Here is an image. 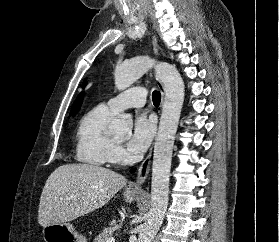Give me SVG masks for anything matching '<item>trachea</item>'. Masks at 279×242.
I'll return each instance as SVG.
<instances>
[{
  "instance_id": "1",
  "label": "trachea",
  "mask_w": 279,
  "mask_h": 242,
  "mask_svg": "<svg viewBox=\"0 0 279 242\" xmlns=\"http://www.w3.org/2000/svg\"><path fill=\"white\" fill-rule=\"evenodd\" d=\"M152 100L154 105H159L161 101V93L159 91H154L152 93Z\"/></svg>"
}]
</instances>
